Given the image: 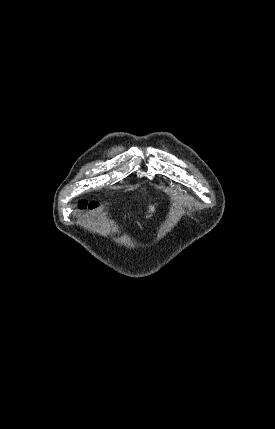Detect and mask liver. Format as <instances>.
I'll return each mask as SVG.
<instances>
[{"label": "liver", "mask_w": 275, "mask_h": 429, "mask_svg": "<svg viewBox=\"0 0 275 429\" xmlns=\"http://www.w3.org/2000/svg\"><path fill=\"white\" fill-rule=\"evenodd\" d=\"M154 211H155V206H153V205L149 206V211L148 212L150 213V215L147 216V217H150Z\"/></svg>", "instance_id": "1"}]
</instances>
